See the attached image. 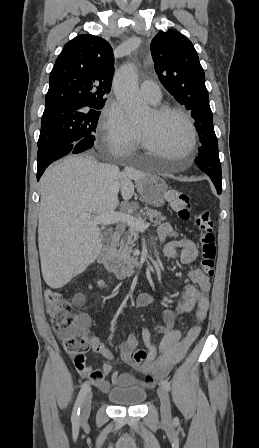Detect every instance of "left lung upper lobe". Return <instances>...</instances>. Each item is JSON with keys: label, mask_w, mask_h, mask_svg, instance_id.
Returning <instances> with one entry per match:
<instances>
[{"label": "left lung upper lobe", "mask_w": 259, "mask_h": 448, "mask_svg": "<svg viewBox=\"0 0 259 448\" xmlns=\"http://www.w3.org/2000/svg\"><path fill=\"white\" fill-rule=\"evenodd\" d=\"M160 82L195 120L201 145L217 141L205 86V74L192 42L178 31L159 32L151 42Z\"/></svg>", "instance_id": "left-lung-upper-lobe-1"}]
</instances>
